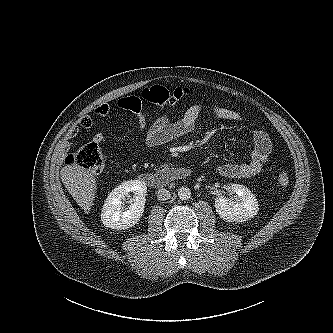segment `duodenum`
<instances>
[{
	"label": "duodenum",
	"mask_w": 333,
	"mask_h": 333,
	"mask_svg": "<svg viewBox=\"0 0 333 333\" xmlns=\"http://www.w3.org/2000/svg\"><path fill=\"white\" fill-rule=\"evenodd\" d=\"M191 176V170L184 166H173L160 169L153 173H142L139 175V180L153 188H163L168 184L185 180Z\"/></svg>",
	"instance_id": "obj_1"
}]
</instances>
